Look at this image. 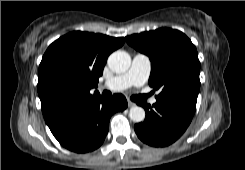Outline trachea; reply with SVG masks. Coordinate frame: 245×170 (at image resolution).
<instances>
[{
    "label": "trachea",
    "instance_id": "3493384b",
    "mask_svg": "<svg viewBox=\"0 0 245 170\" xmlns=\"http://www.w3.org/2000/svg\"><path fill=\"white\" fill-rule=\"evenodd\" d=\"M108 95H111V93H110V92H108Z\"/></svg>",
    "mask_w": 245,
    "mask_h": 170
}]
</instances>
